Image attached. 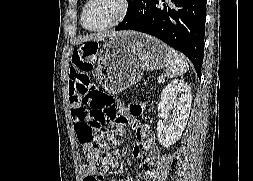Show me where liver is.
Here are the masks:
<instances>
[{
	"instance_id": "6515ba94",
	"label": "liver",
	"mask_w": 253,
	"mask_h": 181,
	"mask_svg": "<svg viewBox=\"0 0 253 181\" xmlns=\"http://www.w3.org/2000/svg\"><path fill=\"white\" fill-rule=\"evenodd\" d=\"M129 33L131 31H122L118 33H97V34H91L89 36L83 37L80 41L81 42H87V41H102L107 37H114L117 35H120L121 33Z\"/></svg>"
}]
</instances>
